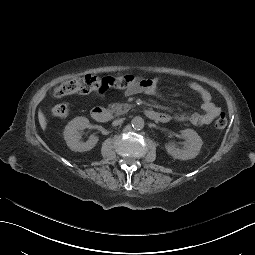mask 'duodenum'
<instances>
[{
    "label": "duodenum",
    "instance_id": "duodenum-1",
    "mask_svg": "<svg viewBox=\"0 0 255 255\" xmlns=\"http://www.w3.org/2000/svg\"><path fill=\"white\" fill-rule=\"evenodd\" d=\"M145 113L151 120L155 122L166 123L171 119L168 114L153 110H146ZM91 116L97 122L104 123L110 121L113 117V114L110 110L104 107H94L91 110Z\"/></svg>",
    "mask_w": 255,
    "mask_h": 255
}]
</instances>
